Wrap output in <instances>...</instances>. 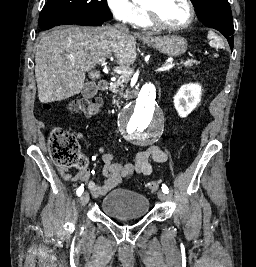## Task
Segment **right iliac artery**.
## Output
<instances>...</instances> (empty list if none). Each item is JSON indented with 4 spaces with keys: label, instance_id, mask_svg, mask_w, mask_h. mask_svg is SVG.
Masks as SVG:
<instances>
[{
    "label": "right iliac artery",
    "instance_id": "obj_1",
    "mask_svg": "<svg viewBox=\"0 0 256 267\" xmlns=\"http://www.w3.org/2000/svg\"><path fill=\"white\" fill-rule=\"evenodd\" d=\"M83 191H84V185H81V186L77 189L76 193H77L78 196H80V195L83 193Z\"/></svg>",
    "mask_w": 256,
    "mask_h": 267
}]
</instances>
